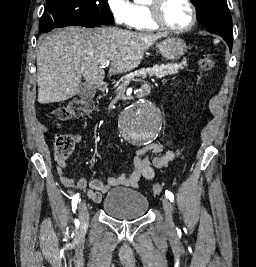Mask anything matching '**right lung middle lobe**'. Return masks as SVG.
Returning <instances> with one entry per match:
<instances>
[{"mask_svg": "<svg viewBox=\"0 0 256 267\" xmlns=\"http://www.w3.org/2000/svg\"><path fill=\"white\" fill-rule=\"evenodd\" d=\"M113 22L107 0H47V11L41 17L39 29L45 33L54 27Z\"/></svg>", "mask_w": 256, "mask_h": 267, "instance_id": "1", "label": "right lung middle lobe"}]
</instances>
